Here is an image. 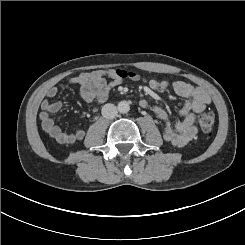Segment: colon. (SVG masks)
<instances>
[{
	"label": "colon",
	"mask_w": 245,
	"mask_h": 245,
	"mask_svg": "<svg viewBox=\"0 0 245 245\" xmlns=\"http://www.w3.org/2000/svg\"><path fill=\"white\" fill-rule=\"evenodd\" d=\"M116 74L122 79L130 78V79L137 80L140 78L139 74L132 72V71L122 70V69H117ZM198 123H199V127L202 132L210 133L213 130L214 124H215L214 113L211 111L202 113L199 116Z\"/></svg>",
	"instance_id": "colon-1"
}]
</instances>
